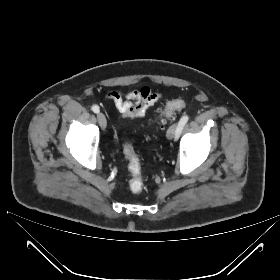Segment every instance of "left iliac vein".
I'll list each match as a JSON object with an SVG mask.
<instances>
[{
  "mask_svg": "<svg viewBox=\"0 0 280 280\" xmlns=\"http://www.w3.org/2000/svg\"><path fill=\"white\" fill-rule=\"evenodd\" d=\"M177 130H178V124H172L167 130L166 137L168 139L174 138L176 136Z\"/></svg>",
  "mask_w": 280,
  "mask_h": 280,
  "instance_id": "4c4485c4",
  "label": "left iliac vein"
}]
</instances>
